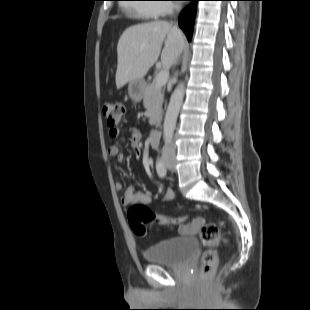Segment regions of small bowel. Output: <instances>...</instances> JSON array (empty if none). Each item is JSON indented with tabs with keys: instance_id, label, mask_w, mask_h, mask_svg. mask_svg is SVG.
<instances>
[{
	"instance_id": "1",
	"label": "small bowel",
	"mask_w": 310,
	"mask_h": 310,
	"mask_svg": "<svg viewBox=\"0 0 310 310\" xmlns=\"http://www.w3.org/2000/svg\"><path fill=\"white\" fill-rule=\"evenodd\" d=\"M110 136L113 138L119 137L125 133L128 134V142L134 150V155L136 159L141 157V143L142 137L139 131L136 128H128V129H121L119 127L109 128ZM108 153L110 156L114 157L118 162H123L125 160L124 153L116 146L110 145L108 148ZM117 189L122 188V183L117 182L115 184ZM175 192L171 188H167L162 196V200L170 201L175 198ZM144 203L150 204L152 202L151 195L147 193H143L138 191L135 187L129 186L126 188L124 195L121 198V203L123 206H130L135 203ZM195 229V224L193 226L184 225L179 228V233L182 235H190L193 233Z\"/></svg>"
}]
</instances>
